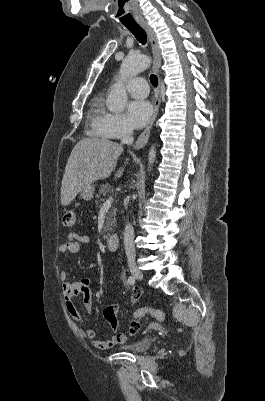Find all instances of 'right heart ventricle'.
Instances as JSON below:
<instances>
[{"label": "right heart ventricle", "mask_w": 265, "mask_h": 401, "mask_svg": "<svg viewBox=\"0 0 265 401\" xmlns=\"http://www.w3.org/2000/svg\"><path fill=\"white\" fill-rule=\"evenodd\" d=\"M88 115L90 116V129L92 133L101 138L105 142H111L115 139H126L127 137L117 138L109 133L105 124L104 117L106 116L105 99L103 93H95L89 100Z\"/></svg>", "instance_id": "obj_1"}]
</instances>
